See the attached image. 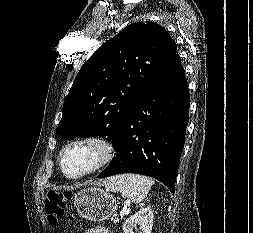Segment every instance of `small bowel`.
Instances as JSON below:
<instances>
[{
	"mask_svg": "<svg viewBox=\"0 0 253 233\" xmlns=\"http://www.w3.org/2000/svg\"><path fill=\"white\" fill-rule=\"evenodd\" d=\"M86 233H108V231L104 227H95Z\"/></svg>",
	"mask_w": 253,
	"mask_h": 233,
	"instance_id": "1",
	"label": "small bowel"
}]
</instances>
